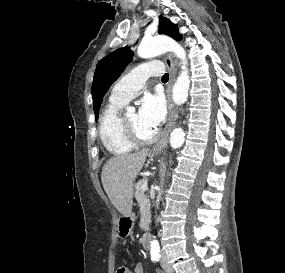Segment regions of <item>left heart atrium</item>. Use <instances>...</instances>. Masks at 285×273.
<instances>
[{"label":"left heart atrium","instance_id":"1","mask_svg":"<svg viewBox=\"0 0 285 273\" xmlns=\"http://www.w3.org/2000/svg\"><path fill=\"white\" fill-rule=\"evenodd\" d=\"M166 115L164 99L159 94H147L141 102L138 111L140 121L150 127L157 128L161 125Z\"/></svg>","mask_w":285,"mask_h":273}]
</instances>
